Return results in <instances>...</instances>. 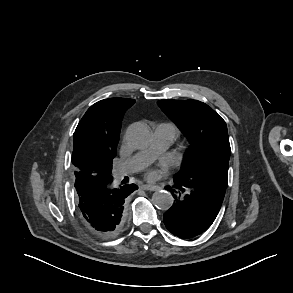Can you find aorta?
Here are the masks:
<instances>
[{
  "mask_svg": "<svg viewBox=\"0 0 293 293\" xmlns=\"http://www.w3.org/2000/svg\"><path fill=\"white\" fill-rule=\"evenodd\" d=\"M151 140V131L148 126L142 123H136L129 127L127 131V141L135 148L147 146ZM174 198L167 191L155 192L152 196L153 204L161 209L168 210L173 204Z\"/></svg>",
  "mask_w": 293,
  "mask_h": 293,
  "instance_id": "obj_1",
  "label": "aorta"
}]
</instances>
